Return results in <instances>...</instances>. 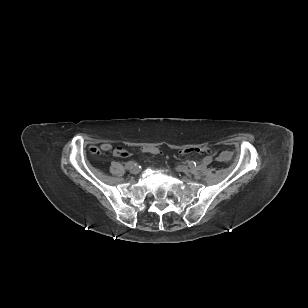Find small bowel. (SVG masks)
Instances as JSON below:
<instances>
[{
    "label": "small bowel",
    "instance_id": "c3829d8e",
    "mask_svg": "<svg viewBox=\"0 0 308 308\" xmlns=\"http://www.w3.org/2000/svg\"><path fill=\"white\" fill-rule=\"evenodd\" d=\"M94 149H96V148H91V152H92V153H95V152H94ZM100 150L103 151V152L110 151V150H111V146H110L109 144H107V143H103V144H101V146H100ZM228 158H229V153H228V152H222V153L219 155V157H218V159H219L220 161H226V160H228Z\"/></svg>",
    "mask_w": 308,
    "mask_h": 308
}]
</instances>
